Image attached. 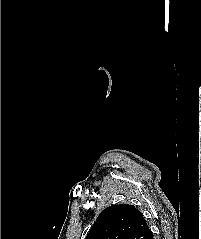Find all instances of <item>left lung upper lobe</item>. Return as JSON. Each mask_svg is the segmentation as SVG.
I'll return each mask as SVG.
<instances>
[{"mask_svg": "<svg viewBox=\"0 0 201 239\" xmlns=\"http://www.w3.org/2000/svg\"><path fill=\"white\" fill-rule=\"evenodd\" d=\"M150 232L133 205L115 204L100 213L85 239H147Z\"/></svg>", "mask_w": 201, "mask_h": 239, "instance_id": "left-lung-upper-lobe-1", "label": "left lung upper lobe"}]
</instances>
